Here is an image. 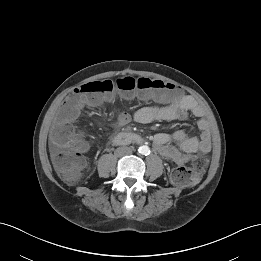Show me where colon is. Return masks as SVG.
<instances>
[{
	"label": "colon",
	"instance_id": "1",
	"mask_svg": "<svg viewBox=\"0 0 261 261\" xmlns=\"http://www.w3.org/2000/svg\"><path fill=\"white\" fill-rule=\"evenodd\" d=\"M116 89L123 92L126 97L136 95L142 101H169L179 95V88L176 85L146 77L100 79L78 86L60 108L58 112L60 120L52 130V138L61 148L55 155L54 164L65 180L69 182L77 180L85 166L83 153L87 148L85 136L75 130L69 121L78 114L83 103L95 104L98 95L110 94ZM207 164L208 158L205 155L197 156L191 168L183 165L174 167L170 178L178 186H190L198 180Z\"/></svg>",
	"mask_w": 261,
	"mask_h": 261
}]
</instances>
